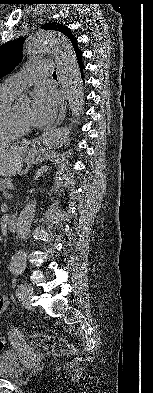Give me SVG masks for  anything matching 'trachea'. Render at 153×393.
I'll return each instance as SVG.
<instances>
[{"label":"trachea","mask_w":153,"mask_h":393,"mask_svg":"<svg viewBox=\"0 0 153 393\" xmlns=\"http://www.w3.org/2000/svg\"><path fill=\"white\" fill-rule=\"evenodd\" d=\"M53 76H56V71L53 72Z\"/></svg>","instance_id":"1"}]
</instances>
